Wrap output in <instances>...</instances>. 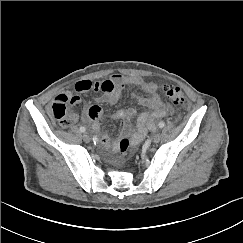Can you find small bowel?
Listing matches in <instances>:
<instances>
[{
  "instance_id": "obj_1",
  "label": "small bowel",
  "mask_w": 243,
  "mask_h": 243,
  "mask_svg": "<svg viewBox=\"0 0 243 243\" xmlns=\"http://www.w3.org/2000/svg\"><path fill=\"white\" fill-rule=\"evenodd\" d=\"M127 86H137L145 93L146 96L132 94V97L141 105L147 108L146 111L140 113L137 117L136 126H133L132 119L136 116L134 108L117 110L113 115V120H123L124 133L129 135L134 144L141 142L149 131L156 129V119L171 115L174 110L171 106L162 102L158 94V86L156 83L146 81L140 76L125 77L119 74L112 77L100 80H80L75 84L74 93H61L58 94L53 100L52 106L56 102H61L70 105L71 108L77 109L81 106L82 100L80 93L93 91L100 95L95 99V103L90 106L85 115L84 121H90L93 131L99 136L100 143L110 149L117 148V142L110 140L107 134L101 129L100 121L103 116L102 103L114 104L119 99L123 89ZM78 115L75 111L70 112V123L77 119Z\"/></svg>"
}]
</instances>
